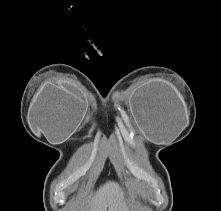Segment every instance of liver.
<instances>
[{
  "label": "liver",
  "mask_w": 221,
  "mask_h": 211,
  "mask_svg": "<svg viewBox=\"0 0 221 211\" xmlns=\"http://www.w3.org/2000/svg\"><path fill=\"white\" fill-rule=\"evenodd\" d=\"M89 211H130L119 185L107 182L97 190L88 205Z\"/></svg>",
  "instance_id": "1"
}]
</instances>
